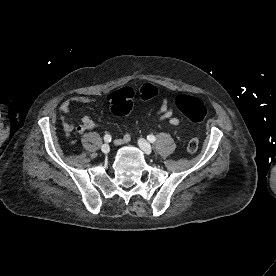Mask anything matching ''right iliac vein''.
I'll use <instances>...</instances> for the list:
<instances>
[{
    "instance_id": "right-iliac-vein-1",
    "label": "right iliac vein",
    "mask_w": 276,
    "mask_h": 276,
    "mask_svg": "<svg viewBox=\"0 0 276 276\" xmlns=\"http://www.w3.org/2000/svg\"><path fill=\"white\" fill-rule=\"evenodd\" d=\"M101 151H102L103 153H105V154L109 153V151H110V146H109L108 144H103V145L101 146Z\"/></svg>"
}]
</instances>
